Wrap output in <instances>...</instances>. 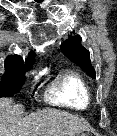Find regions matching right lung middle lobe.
<instances>
[{
    "mask_svg": "<svg viewBox=\"0 0 117 136\" xmlns=\"http://www.w3.org/2000/svg\"><path fill=\"white\" fill-rule=\"evenodd\" d=\"M29 68L5 69L1 79L0 97H10L18 93L25 81L24 72Z\"/></svg>",
    "mask_w": 117,
    "mask_h": 136,
    "instance_id": "dd1d6c3e",
    "label": "right lung middle lobe"
}]
</instances>
